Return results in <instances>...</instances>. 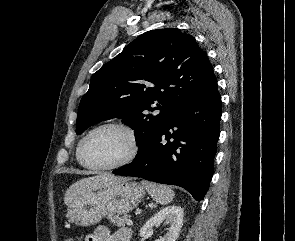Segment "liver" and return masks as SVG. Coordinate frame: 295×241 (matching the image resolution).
I'll use <instances>...</instances> for the list:
<instances>
[{
    "instance_id": "obj_1",
    "label": "liver",
    "mask_w": 295,
    "mask_h": 241,
    "mask_svg": "<svg viewBox=\"0 0 295 241\" xmlns=\"http://www.w3.org/2000/svg\"><path fill=\"white\" fill-rule=\"evenodd\" d=\"M123 178L116 177L112 174L102 173L96 176H91L87 178H83L74 184H72L66 191L64 196V202L66 205H69L72 200L87 191L97 189L102 185L111 184L118 180H122Z\"/></svg>"
}]
</instances>
